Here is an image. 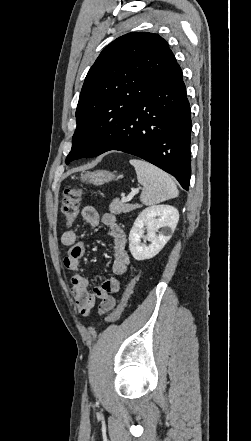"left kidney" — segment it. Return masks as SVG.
I'll return each instance as SVG.
<instances>
[{"label": "left kidney", "instance_id": "obj_1", "mask_svg": "<svg viewBox=\"0 0 251 441\" xmlns=\"http://www.w3.org/2000/svg\"><path fill=\"white\" fill-rule=\"evenodd\" d=\"M178 220L179 212L173 206L162 204L145 208L136 218L129 234V250L134 259L142 261L156 256L170 240ZM141 238L151 244H142Z\"/></svg>", "mask_w": 251, "mask_h": 441}]
</instances>
